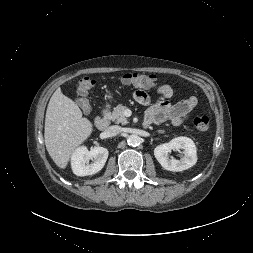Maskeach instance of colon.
Instances as JSON below:
<instances>
[{
	"mask_svg": "<svg viewBox=\"0 0 253 253\" xmlns=\"http://www.w3.org/2000/svg\"><path fill=\"white\" fill-rule=\"evenodd\" d=\"M122 82L126 85L145 88L152 86L156 82V76L153 74L131 72L122 77ZM95 83L94 79L83 77L76 85L77 103L84 113H89L91 110L88 95ZM193 123L198 130L205 131L209 127V118L205 115H200L195 117Z\"/></svg>",
	"mask_w": 253,
	"mask_h": 253,
	"instance_id": "obj_1",
	"label": "colon"
}]
</instances>
